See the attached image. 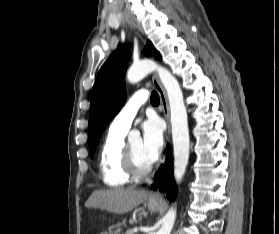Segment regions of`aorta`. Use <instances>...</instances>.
Segmentation results:
<instances>
[{
  "mask_svg": "<svg viewBox=\"0 0 279 234\" xmlns=\"http://www.w3.org/2000/svg\"><path fill=\"white\" fill-rule=\"evenodd\" d=\"M152 71L158 73L159 79L166 89L172 125V140L174 152V177L180 183L185 174L189 160V130L187 111L184 104L183 93L177 79L170 71L159 66L152 60H142L133 64L127 72V80L137 83ZM136 133V132H132ZM176 219V209L173 207L166 213L162 226L156 234H170Z\"/></svg>",
  "mask_w": 279,
  "mask_h": 234,
  "instance_id": "1",
  "label": "aorta"
}]
</instances>
